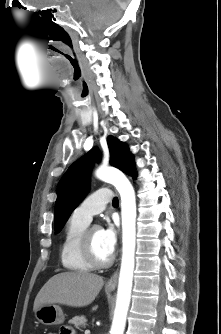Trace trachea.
I'll list each match as a JSON object with an SVG mask.
<instances>
[{"label": "trachea", "mask_w": 221, "mask_h": 334, "mask_svg": "<svg viewBox=\"0 0 221 334\" xmlns=\"http://www.w3.org/2000/svg\"><path fill=\"white\" fill-rule=\"evenodd\" d=\"M113 204H118V198L117 197H115L114 199H113V202H112Z\"/></svg>", "instance_id": "trachea-1"}]
</instances>
